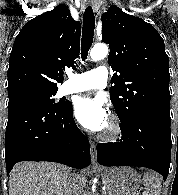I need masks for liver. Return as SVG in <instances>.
Returning <instances> with one entry per match:
<instances>
[{"instance_id":"6515ba94","label":"liver","mask_w":178,"mask_h":195,"mask_svg":"<svg viewBox=\"0 0 178 195\" xmlns=\"http://www.w3.org/2000/svg\"><path fill=\"white\" fill-rule=\"evenodd\" d=\"M72 170L50 162H20L14 166L9 177V195H72ZM83 189L84 174L77 175Z\"/></svg>"}]
</instances>
